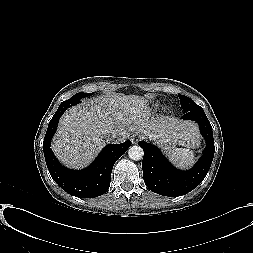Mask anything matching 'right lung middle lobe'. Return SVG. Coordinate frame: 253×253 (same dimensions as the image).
<instances>
[{
    "instance_id": "right-lung-middle-lobe-1",
    "label": "right lung middle lobe",
    "mask_w": 253,
    "mask_h": 253,
    "mask_svg": "<svg viewBox=\"0 0 253 253\" xmlns=\"http://www.w3.org/2000/svg\"><path fill=\"white\" fill-rule=\"evenodd\" d=\"M91 93H77L75 94L72 98H70L69 100H78L84 97L89 96Z\"/></svg>"
}]
</instances>
